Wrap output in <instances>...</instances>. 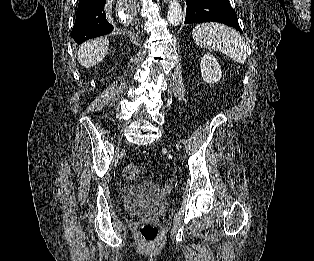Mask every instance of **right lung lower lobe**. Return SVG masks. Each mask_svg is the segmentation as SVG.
I'll list each match as a JSON object with an SVG mask.
<instances>
[{"mask_svg": "<svg viewBox=\"0 0 314 261\" xmlns=\"http://www.w3.org/2000/svg\"><path fill=\"white\" fill-rule=\"evenodd\" d=\"M106 0H79L75 24L71 37L76 43L106 35L113 26L107 21L104 5Z\"/></svg>", "mask_w": 314, "mask_h": 261, "instance_id": "obj_1", "label": "right lung lower lobe"}]
</instances>
